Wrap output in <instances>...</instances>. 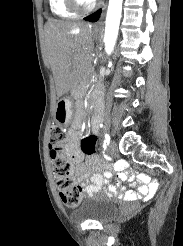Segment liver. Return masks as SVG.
<instances>
[{
    "label": "liver",
    "instance_id": "1",
    "mask_svg": "<svg viewBox=\"0 0 183 246\" xmlns=\"http://www.w3.org/2000/svg\"><path fill=\"white\" fill-rule=\"evenodd\" d=\"M91 27L85 23L51 20L46 47L58 97L65 94L90 65L94 48Z\"/></svg>",
    "mask_w": 183,
    "mask_h": 246
}]
</instances>
